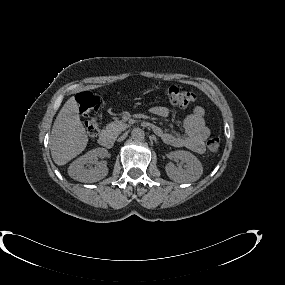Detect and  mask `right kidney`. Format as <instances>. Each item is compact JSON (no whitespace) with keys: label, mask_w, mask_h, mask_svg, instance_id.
I'll use <instances>...</instances> for the list:
<instances>
[{"label":"right kidney","mask_w":285,"mask_h":285,"mask_svg":"<svg viewBox=\"0 0 285 285\" xmlns=\"http://www.w3.org/2000/svg\"><path fill=\"white\" fill-rule=\"evenodd\" d=\"M105 154L106 150L103 148H96L87 152L69 166V176L74 180L86 183L97 182L103 179L108 174L106 162L101 161L94 168H87L85 165L92 163L98 157H104Z\"/></svg>","instance_id":"right-kidney-1"}]
</instances>
